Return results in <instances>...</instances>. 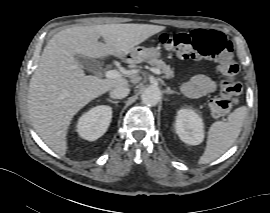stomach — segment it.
Here are the masks:
<instances>
[{
  "instance_id": "obj_1",
  "label": "stomach",
  "mask_w": 270,
  "mask_h": 213,
  "mask_svg": "<svg viewBox=\"0 0 270 213\" xmlns=\"http://www.w3.org/2000/svg\"><path fill=\"white\" fill-rule=\"evenodd\" d=\"M161 56L159 48H146L143 46L135 47L125 58L128 62L140 63L150 59H157Z\"/></svg>"
}]
</instances>
